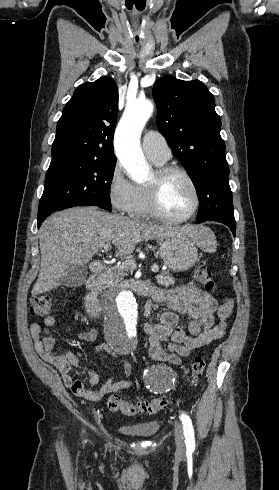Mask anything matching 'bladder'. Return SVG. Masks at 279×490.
I'll return each mask as SVG.
<instances>
[{"label": "bladder", "instance_id": "31cf9c89", "mask_svg": "<svg viewBox=\"0 0 279 490\" xmlns=\"http://www.w3.org/2000/svg\"><path fill=\"white\" fill-rule=\"evenodd\" d=\"M158 428L159 422L153 420L134 422L121 427L120 430L130 437H152L158 431Z\"/></svg>", "mask_w": 279, "mask_h": 490}]
</instances>
